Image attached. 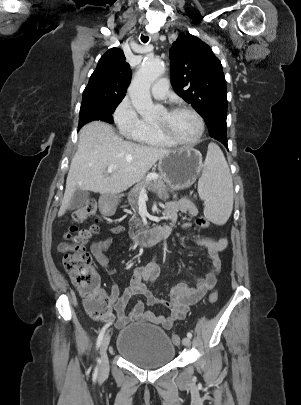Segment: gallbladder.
Instances as JSON below:
<instances>
[{
    "label": "gallbladder",
    "mask_w": 301,
    "mask_h": 405,
    "mask_svg": "<svg viewBox=\"0 0 301 405\" xmlns=\"http://www.w3.org/2000/svg\"><path fill=\"white\" fill-rule=\"evenodd\" d=\"M88 197H89V192L87 190L76 189V191L74 192V194L70 200L68 209L74 210V209L82 207L88 200Z\"/></svg>",
    "instance_id": "gallbladder-1"
}]
</instances>
